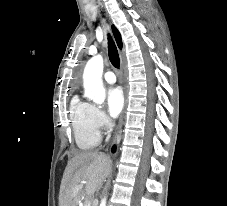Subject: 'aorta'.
Listing matches in <instances>:
<instances>
[{
	"mask_svg": "<svg viewBox=\"0 0 227 206\" xmlns=\"http://www.w3.org/2000/svg\"><path fill=\"white\" fill-rule=\"evenodd\" d=\"M103 57H92L86 64L83 73V87L85 96L96 104H102L106 97L102 81ZM100 206H106V198L101 200Z\"/></svg>",
	"mask_w": 227,
	"mask_h": 206,
	"instance_id": "762f6f07",
	"label": "aorta"
}]
</instances>
